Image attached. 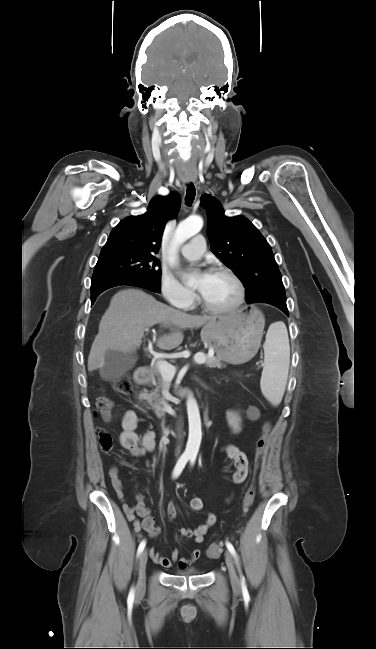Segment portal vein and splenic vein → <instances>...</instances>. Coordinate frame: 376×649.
Returning a JSON list of instances; mask_svg holds the SVG:
<instances>
[{
	"label": "portal vein and splenic vein",
	"mask_w": 376,
	"mask_h": 649,
	"mask_svg": "<svg viewBox=\"0 0 376 649\" xmlns=\"http://www.w3.org/2000/svg\"><path fill=\"white\" fill-rule=\"evenodd\" d=\"M147 330L148 329H145V331H147ZM194 361L196 362V364H199V365L204 364L205 361H206V357L203 354L198 353V354H196L194 356ZM157 367H158V370H159L161 376L165 380H172V378L174 377V375L176 373V368L173 365L169 364L168 362H166L164 360H159L157 362Z\"/></svg>",
	"instance_id": "portal-vein-and-splenic-vein-1"
}]
</instances>
